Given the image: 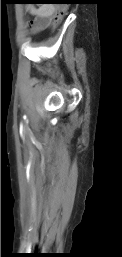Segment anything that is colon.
<instances>
[{
    "label": "colon",
    "mask_w": 122,
    "mask_h": 257,
    "mask_svg": "<svg viewBox=\"0 0 122 257\" xmlns=\"http://www.w3.org/2000/svg\"><path fill=\"white\" fill-rule=\"evenodd\" d=\"M69 7H72V2H57V8H55V17L54 21H51V26H49V31H58V26L61 25V22H63V16L66 15V10H68Z\"/></svg>",
    "instance_id": "obj_1"
}]
</instances>
